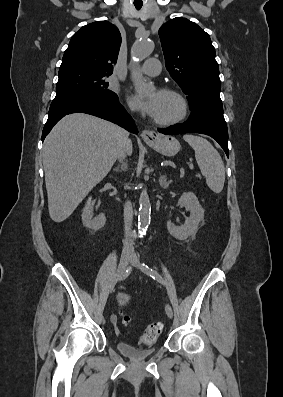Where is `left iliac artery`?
<instances>
[{"instance_id":"44dca946","label":"left iliac artery","mask_w":283,"mask_h":397,"mask_svg":"<svg viewBox=\"0 0 283 397\" xmlns=\"http://www.w3.org/2000/svg\"><path fill=\"white\" fill-rule=\"evenodd\" d=\"M141 270L149 275L150 277H152L154 280H157L158 282H160L161 284H165L163 278L152 268H150L149 266L145 265L144 263L141 265Z\"/></svg>"}]
</instances>
